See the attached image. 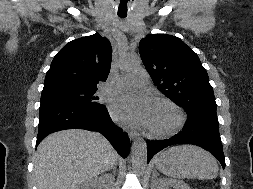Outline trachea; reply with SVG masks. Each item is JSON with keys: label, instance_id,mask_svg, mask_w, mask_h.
<instances>
[{"label": "trachea", "instance_id": "1", "mask_svg": "<svg viewBox=\"0 0 253 189\" xmlns=\"http://www.w3.org/2000/svg\"><path fill=\"white\" fill-rule=\"evenodd\" d=\"M118 16L121 17V18H125L126 14H118Z\"/></svg>", "mask_w": 253, "mask_h": 189}]
</instances>
